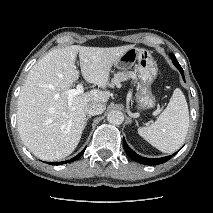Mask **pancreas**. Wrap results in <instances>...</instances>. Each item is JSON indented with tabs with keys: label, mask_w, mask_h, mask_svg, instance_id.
Segmentation results:
<instances>
[{
	"label": "pancreas",
	"mask_w": 213,
	"mask_h": 213,
	"mask_svg": "<svg viewBox=\"0 0 213 213\" xmlns=\"http://www.w3.org/2000/svg\"><path fill=\"white\" fill-rule=\"evenodd\" d=\"M136 73L133 71L118 72L111 80L110 86H119L121 82L128 80L129 78H135Z\"/></svg>",
	"instance_id": "pancreas-1"
}]
</instances>
